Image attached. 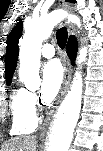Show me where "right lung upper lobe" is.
Masks as SVG:
<instances>
[{"label": "right lung upper lobe", "mask_w": 103, "mask_h": 151, "mask_svg": "<svg viewBox=\"0 0 103 151\" xmlns=\"http://www.w3.org/2000/svg\"><path fill=\"white\" fill-rule=\"evenodd\" d=\"M22 35V21L13 28L7 39V50L5 55V77L12 80L18 60V42Z\"/></svg>", "instance_id": "right-lung-upper-lobe-1"}]
</instances>
